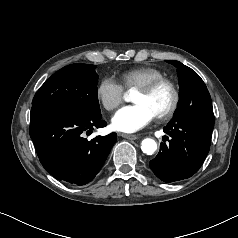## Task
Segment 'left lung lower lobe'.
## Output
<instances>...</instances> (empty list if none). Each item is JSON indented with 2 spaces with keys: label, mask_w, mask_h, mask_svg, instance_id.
<instances>
[{
  "label": "left lung lower lobe",
  "mask_w": 238,
  "mask_h": 238,
  "mask_svg": "<svg viewBox=\"0 0 238 238\" xmlns=\"http://www.w3.org/2000/svg\"><path fill=\"white\" fill-rule=\"evenodd\" d=\"M213 127L214 124L170 121L164 128L171 137L169 144L161 143L159 153L149 163L154 174L164 182L191 177L209 152Z\"/></svg>",
  "instance_id": "obj_1"
}]
</instances>
